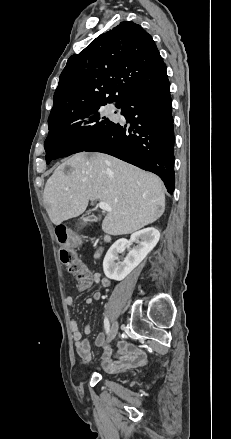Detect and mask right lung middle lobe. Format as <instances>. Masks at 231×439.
Listing matches in <instances>:
<instances>
[{"label":"right lung middle lobe","instance_id":"dd1d6c3e","mask_svg":"<svg viewBox=\"0 0 231 439\" xmlns=\"http://www.w3.org/2000/svg\"><path fill=\"white\" fill-rule=\"evenodd\" d=\"M115 124L103 115L102 106L48 121L49 133L44 144L47 164L54 159L84 151Z\"/></svg>","mask_w":231,"mask_h":439}]
</instances>
